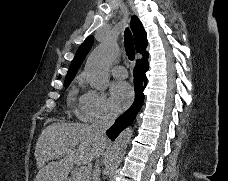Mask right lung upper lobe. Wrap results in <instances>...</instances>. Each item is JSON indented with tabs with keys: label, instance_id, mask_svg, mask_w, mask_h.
<instances>
[{
	"label": "right lung upper lobe",
	"instance_id": "cb5924a9",
	"mask_svg": "<svg viewBox=\"0 0 228 181\" xmlns=\"http://www.w3.org/2000/svg\"><path fill=\"white\" fill-rule=\"evenodd\" d=\"M131 28H132V31L134 34L136 51L138 53H141L142 56H147L148 53L146 51V47H147L148 43H147V38H146V32L142 26V23L136 16H133L131 19ZM93 40H94L93 36H89L80 45V47L78 48V50L75 54L74 59L71 62L70 68H69L66 78H65V81L73 80V78L75 77V75L78 71V68L80 67L84 58L90 51L92 44H93Z\"/></svg>",
	"mask_w": 228,
	"mask_h": 181
}]
</instances>
